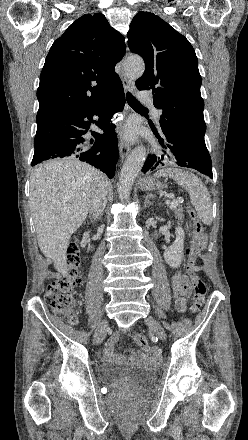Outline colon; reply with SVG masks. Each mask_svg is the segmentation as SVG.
<instances>
[{"instance_id": "colon-1", "label": "colon", "mask_w": 248, "mask_h": 440, "mask_svg": "<svg viewBox=\"0 0 248 440\" xmlns=\"http://www.w3.org/2000/svg\"><path fill=\"white\" fill-rule=\"evenodd\" d=\"M189 217L194 227L193 238L189 247L187 271L193 286L192 310L197 312L203 305L206 294V285L198 274L196 261L205 247L206 231L205 226L198 219L195 210L190 207ZM80 281V258L79 248L74 242L67 251V270L63 277L52 281L45 293V302L52 312L60 317L66 318L71 324L78 322L76 315V300L74 298V288ZM135 343L143 348L149 347L145 336L137 334Z\"/></svg>"}]
</instances>
